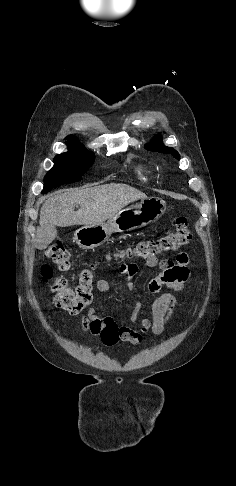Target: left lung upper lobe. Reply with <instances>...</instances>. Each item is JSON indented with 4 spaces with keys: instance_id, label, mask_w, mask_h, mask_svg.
Returning <instances> with one entry per match:
<instances>
[{
    "instance_id": "left-lung-upper-lobe-1",
    "label": "left lung upper lobe",
    "mask_w": 236,
    "mask_h": 486,
    "mask_svg": "<svg viewBox=\"0 0 236 486\" xmlns=\"http://www.w3.org/2000/svg\"><path fill=\"white\" fill-rule=\"evenodd\" d=\"M145 148L149 151H156V152L166 153V154L171 152L176 159L178 160L180 159L179 153L173 148L165 146L162 143L161 138H155L153 142L149 145H146Z\"/></svg>"
}]
</instances>
